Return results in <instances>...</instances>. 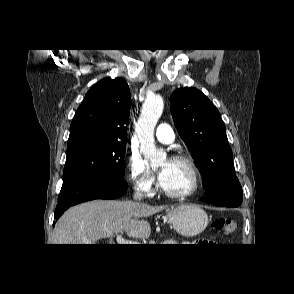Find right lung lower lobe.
I'll return each mask as SVG.
<instances>
[{"instance_id": "98d812e1", "label": "right lung lower lobe", "mask_w": 294, "mask_h": 294, "mask_svg": "<svg viewBox=\"0 0 294 294\" xmlns=\"http://www.w3.org/2000/svg\"><path fill=\"white\" fill-rule=\"evenodd\" d=\"M127 191L126 182L105 179H82L61 188L54 218L57 220L69 207L94 199H115ZM55 223H53V226Z\"/></svg>"}]
</instances>
